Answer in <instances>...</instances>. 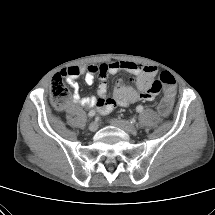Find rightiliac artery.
Segmentation results:
<instances>
[{
    "mask_svg": "<svg viewBox=\"0 0 215 215\" xmlns=\"http://www.w3.org/2000/svg\"><path fill=\"white\" fill-rule=\"evenodd\" d=\"M95 114H96V112H95L94 110H91V111L88 113V116H89L90 118H92V117L95 116Z\"/></svg>",
    "mask_w": 215,
    "mask_h": 215,
    "instance_id": "right-iliac-artery-1",
    "label": "right iliac artery"
}]
</instances>
